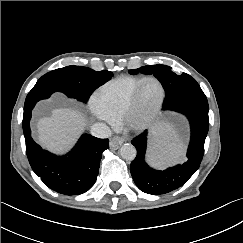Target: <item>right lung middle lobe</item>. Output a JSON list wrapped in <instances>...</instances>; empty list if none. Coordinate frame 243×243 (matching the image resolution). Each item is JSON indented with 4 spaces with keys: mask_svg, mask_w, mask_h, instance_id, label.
Here are the masks:
<instances>
[{
    "mask_svg": "<svg viewBox=\"0 0 243 243\" xmlns=\"http://www.w3.org/2000/svg\"><path fill=\"white\" fill-rule=\"evenodd\" d=\"M112 76L107 70L94 71L88 67L67 66L43 75L33 90L59 91L85 103L91 94Z\"/></svg>",
    "mask_w": 243,
    "mask_h": 243,
    "instance_id": "obj_1",
    "label": "right lung middle lobe"
}]
</instances>
